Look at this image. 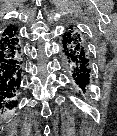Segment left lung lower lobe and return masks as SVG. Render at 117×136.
<instances>
[{"label": "left lung lower lobe", "instance_id": "obj_1", "mask_svg": "<svg viewBox=\"0 0 117 136\" xmlns=\"http://www.w3.org/2000/svg\"><path fill=\"white\" fill-rule=\"evenodd\" d=\"M62 56L65 71L85 93L92 78V59L84 33L70 26L62 35Z\"/></svg>", "mask_w": 117, "mask_h": 136}]
</instances>
